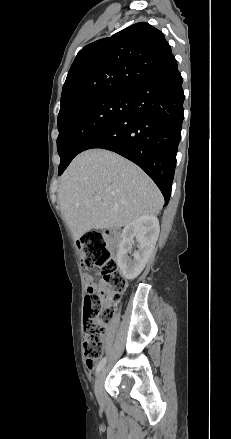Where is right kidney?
<instances>
[{
	"label": "right kidney",
	"instance_id": "right-kidney-1",
	"mask_svg": "<svg viewBox=\"0 0 231 439\" xmlns=\"http://www.w3.org/2000/svg\"><path fill=\"white\" fill-rule=\"evenodd\" d=\"M159 231V221L154 215L141 216L124 227L117 254V264L126 279L133 280L142 272L153 252ZM134 236H136L138 250L134 251L131 259L128 254L131 251Z\"/></svg>",
	"mask_w": 231,
	"mask_h": 439
}]
</instances>
